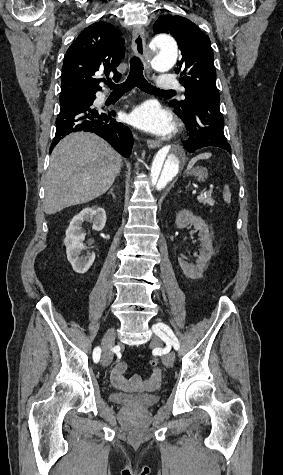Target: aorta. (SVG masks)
Masks as SVG:
<instances>
[{"mask_svg":"<svg viewBox=\"0 0 283 475\" xmlns=\"http://www.w3.org/2000/svg\"><path fill=\"white\" fill-rule=\"evenodd\" d=\"M157 53L155 68L160 72L170 70L177 60L178 48L175 40L165 34L157 35L150 43ZM186 159V152L180 145H166L155 155L147 178V200H154L163 194L179 174Z\"/></svg>","mask_w":283,"mask_h":475,"instance_id":"obj_1","label":"aorta"}]
</instances>
